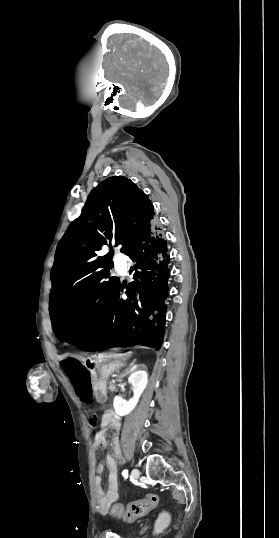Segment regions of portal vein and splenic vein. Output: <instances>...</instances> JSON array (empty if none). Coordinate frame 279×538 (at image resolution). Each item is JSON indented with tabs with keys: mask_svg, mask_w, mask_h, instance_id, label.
<instances>
[{
	"mask_svg": "<svg viewBox=\"0 0 279 538\" xmlns=\"http://www.w3.org/2000/svg\"><path fill=\"white\" fill-rule=\"evenodd\" d=\"M112 383H115V380H112Z\"/></svg>",
	"mask_w": 279,
	"mask_h": 538,
	"instance_id": "obj_1",
	"label": "portal vein and splenic vein"
}]
</instances>
